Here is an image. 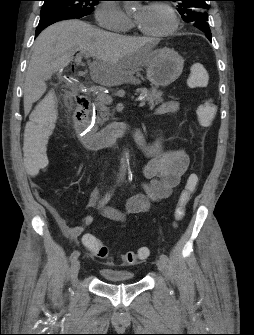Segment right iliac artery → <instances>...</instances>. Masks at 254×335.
<instances>
[{"label":"right iliac artery","mask_w":254,"mask_h":335,"mask_svg":"<svg viewBox=\"0 0 254 335\" xmlns=\"http://www.w3.org/2000/svg\"><path fill=\"white\" fill-rule=\"evenodd\" d=\"M111 196H112V192L107 193L102 200V204H106L110 200ZM79 255H80V252L78 250L73 251L70 256V261L71 262L75 261L79 257Z\"/></svg>","instance_id":"1"}]
</instances>
